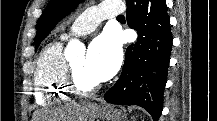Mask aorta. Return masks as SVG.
Masks as SVG:
<instances>
[{
  "label": "aorta",
  "instance_id": "obj_1",
  "mask_svg": "<svg viewBox=\"0 0 217 121\" xmlns=\"http://www.w3.org/2000/svg\"><path fill=\"white\" fill-rule=\"evenodd\" d=\"M82 49H83V45L78 40H71L65 50V55L72 56L74 53Z\"/></svg>",
  "mask_w": 217,
  "mask_h": 121
}]
</instances>
